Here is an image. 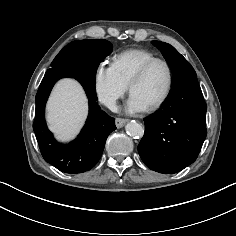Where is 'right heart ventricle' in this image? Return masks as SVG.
Instances as JSON below:
<instances>
[{
    "label": "right heart ventricle",
    "instance_id": "right-heart-ventricle-1",
    "mask_svg": "<svg viewBox=\"0 0 236 236\" xmlns=\"http://www.w3.org/2000/svg\"><path fill=\"white\" fill-rule=\"evenodd\" d=\"M156 55L143 48H131L117 53L113 57L112 66L122 82L129 86L138 70Z\"/></svg>",
    "mask_w": 236,
    "mask_h": 236
}]
</instances>
